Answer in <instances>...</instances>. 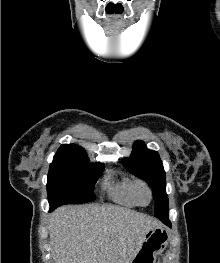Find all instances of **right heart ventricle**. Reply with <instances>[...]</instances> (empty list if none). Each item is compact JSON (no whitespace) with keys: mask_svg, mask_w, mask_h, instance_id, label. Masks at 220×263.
Segmentation results:
<instances>
[{"mask_svg":"<svg viewBox=\"0 0 220 263\" xmlns=\"http://www.w3.org/2000/svg\"><path fill=\"white\" fill-rule=\"evenodd\" d=\"M137 181L123 178L109 189L112 200L126 207L138 205L135 199V187Z\"/></svg>","mask_w":220,"mask_h":263,"instance_id":"e07e8e85","label":"right heart ventricle"}]
</instances>
